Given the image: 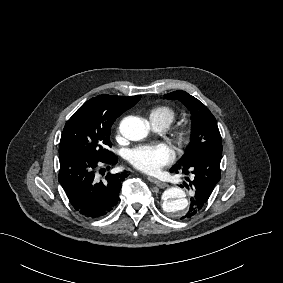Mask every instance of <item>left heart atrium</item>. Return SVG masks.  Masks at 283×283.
Masks as SVG:
<instances>
[{
	"label": "left heart atrium",
	"mask_w": 283,
	"mask_h": 283,
	"mask_svg": "<svg viewBox=\"0 0 283 283\" xmlns=\"http://www.w3.org/2000/svg\"><path fill=\"white\" fill-rule=\"evenodd\" d=\"M175 159V153L166 144L143 145L130 151L131 165L146 174H157Z\"/></svg>",
	"instance_id": "1"
}]
</instances>
